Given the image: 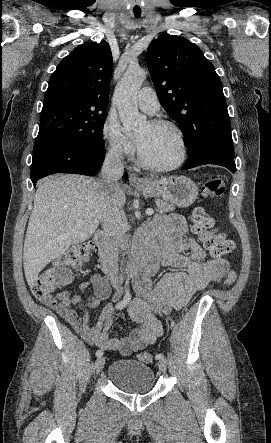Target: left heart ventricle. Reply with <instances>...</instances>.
Instances as JSON below:
<instances>
[{
  "label": "left heart ventricle",
  "mask_w": 271,
  "mask_h": 443,
  "mask_svg": "<svg viewBox=\"0 0 271 443\" xmlns=\"http://www.w3.org/2000/svg\"><path fill=\"white\" fill-rule=\"evenodd\" d=\"M145 158L157 165H169L178 160L181 144L177 133L167 126L145 124L135 136Z\"/></svg>",
  "instance_id": "1"
}]
</instances>
